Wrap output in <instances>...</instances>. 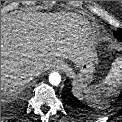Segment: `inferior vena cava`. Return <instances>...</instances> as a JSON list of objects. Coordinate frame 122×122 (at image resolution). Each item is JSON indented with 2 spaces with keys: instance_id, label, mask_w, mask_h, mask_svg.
<instances>
[{
  "instance_id": "602c4592",
  "label": "inferior vena cava",
  "mask_w": 122,
  "mask_h": 122,
  "mask_svg": "<svg viewBox=\"0 0 122 122\" xmlns=\"http://www.w3.org/2000/svg\"><path fill=\"white\" fill-rule=\"evenodd\" d=\"M43 69H44V64L43 63L37 64V68L35 70L36 75H39L43 71Z\"/></svg>"
}]
</instances>
